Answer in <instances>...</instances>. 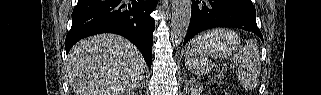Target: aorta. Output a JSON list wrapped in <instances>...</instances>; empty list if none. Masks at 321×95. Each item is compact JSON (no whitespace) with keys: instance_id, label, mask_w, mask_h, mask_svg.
I'll use <instances>...</instances> for the list:
<instances>
[{"instance_id":"762f6f07","label":"aorta","mask_w":321,"mask_h":95,"mask_svg":"<svg viewBox=\"0 0 321 95\" xmlns=\"http://www.w3.org/2000/svg\"><path fill=\"white\" fill-rule=\"evenodd\" d=\"M191 8V0H172L171 37L175 43L181 42L187 34Z\"/></svg>"}]
</instances>
